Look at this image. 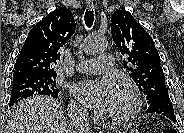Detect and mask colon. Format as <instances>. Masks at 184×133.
<instances>
[{"instance_id":"5ec220e1","label":"colon","mask_w":184,"mask_h":133,"mask_svg":"<svg viewBox=\"0 0 184 133\" xmlns=\"http://www.w3.org/2000/svg\"><path fill=\"white\" fill-rule=\"evenodd\" d=\"M174 129H171V128H167L165 129L164 133H174Z\"/></svg>"}]
</instances>
